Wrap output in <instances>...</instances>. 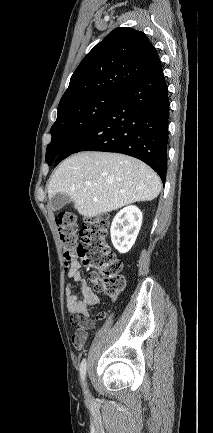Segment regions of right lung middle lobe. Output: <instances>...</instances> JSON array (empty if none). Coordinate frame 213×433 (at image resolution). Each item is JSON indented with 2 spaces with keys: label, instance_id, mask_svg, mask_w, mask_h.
<instances>
[{
  "label": "right lung middle lobe",
  "instance_id": "right-lung-middle-lobe-1",
  "mask_svg": "<svg viewBox=\"0 0 213 433\" xmlns=\"http://www.w3.org/2000/svg\"><path fill=\"white\" fill-rule=\"evenodd\" d=\"M121 94L99 93L58 107L51 127L52 139L46 149V162L57 156L80 134L96 123L119 100Z\"/></svg>",
  "mask_w": 213,
  "mask_h": 433
}]
</instances>
